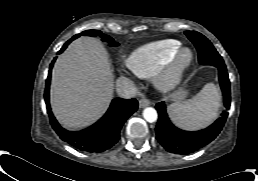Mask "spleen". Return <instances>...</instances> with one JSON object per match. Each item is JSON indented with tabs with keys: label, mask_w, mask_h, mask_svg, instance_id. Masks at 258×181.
Listing matches in <instances>:
<instances>
[{
	"label": "spleen",
	"mask_w": 258,
	"mask_h": 181,
	"mask_svg": "<svg viewBox=\"0 0 258 181\" xmlns=\"http://www.w3.org/2000/svg\"><path fill=\"white\" fill-rule=\"evenodd\" d=\"M220 92L207 83L192 99L171 104L167 111L175 125L185 130H198L211 124L220 108Z\"/></svg>",
	"instance_id": "3e777b00"
}]
</instances>
